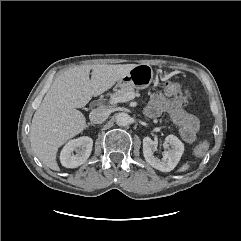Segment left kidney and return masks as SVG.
Here are the masks:
<instances>
[{
  "instance_id": "5707ae66",
  "label": "left kidney",
  "mask_w": 241,
  "mask_h": 241,
  "mask_svg": "<svg viewBox=\"0 0 241 241\" xmlns=\"http://www.w3.org/2000/svg\"><path fill=\"white\" fill-rule=\"evenodd\" d=\"M166 143L171 146L170 150L163 152V158L159 159L154 156L153 147L155 146V141L150 137H144L143 139V155L148 164L153 168L158 169L162 172H169L173 170L184 152L183 143L175 135H168L165 138Z\"/></svg>"
}]
</instances>
